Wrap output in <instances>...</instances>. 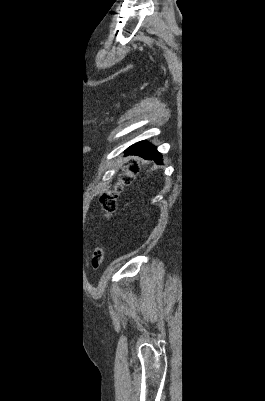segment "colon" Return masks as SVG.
Wrapping results in <instances>:
<instances>
[{
	"instance_id": "obj_1",
	"label": "colon",
	"mask_w": 265,
	"mask_h": 401,
	"mask_svg": "<svg viewBox=\"0 0 265 401\" xmlns=\"http://www.w3.org/2000/svg\"><path fill=\"white\" fill-rule=\"evenodd\" d=\"M138 172V166L135 163H129L126 166L125 171L117 180L114 188L105 192L101 198L100 203L101 206L107 216H112L116 209L118 203V195L122 191V189L131 183L133 177ZM104 257L103 249L97 248L95 249L92 256V267L97 270L101 267L102 261Z\"/></svg>"
}]
</instances>
